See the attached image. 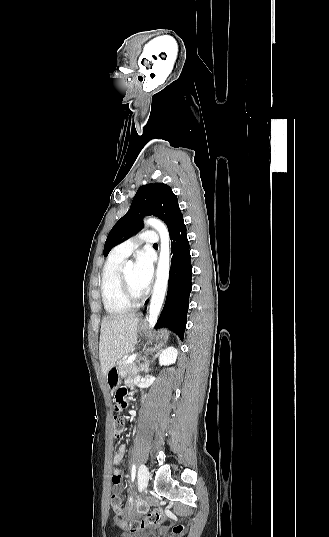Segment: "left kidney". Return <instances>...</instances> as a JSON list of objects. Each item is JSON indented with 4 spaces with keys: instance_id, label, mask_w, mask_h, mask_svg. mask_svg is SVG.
Masks as SVG:
<instances>
[{
    "instance_id": "5707ae66",
    "label": "left kidney",
    "mask_w": 329,
    "mask_h": 537,
    "mask_svg": "<svg viewBox=\"0 0 329 537\" xmlns=\"http://www.w3.org/2000/svg\"><path fill=\"white\" fill-rule=\"evenodd\" d=\"M178 351L173 346H170L162 351L159 357L160 365H169L176 361Z\"/></svg>"
}]
</instances>
